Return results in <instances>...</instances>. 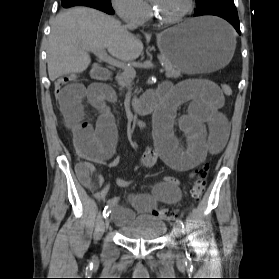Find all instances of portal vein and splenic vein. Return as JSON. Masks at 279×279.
Masks as SVG:
<instances>
[{"mask_svg":"<svg viewBox=\"0 0 279 279\" xmlns=\"http://www.w3.org/2000/svg\"><path fill=\"white\" fill-rule=\"evenodd\" d=\"M88 50L93 52L95 55H97V57L100 60H102L104 62H107V63H109V64H111V65H113L115 67L121 68L124 71L130 72L133 75V77H135L136 73H135V70L132 67H129L125 63H123V62H121V61H119V60L109 56L105 49L90 48ZM160 71L162 72L163 69H161Z\"/></svg>","mask_w":279,"mask_h":279,"instance_id":"18ae733b","label":"portal vein and splenic vein"}]
</instances>
